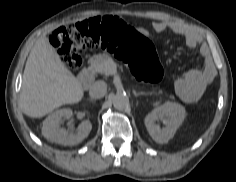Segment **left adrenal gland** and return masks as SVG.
<instances>
[{
	"label": "left adrenal gland",
	"instance_id": "left-adrenal-gland-1",
	"mask_svg": "<svg viewBox=\"0 0 236 182\" xmlns=\"http://www.w3.org/2000/svg\"><path fill=\"white\" fill-rule=\"evenodd\" d=\"M133 94L134 96H140V95H149L150 93H146V92H136L135 90H133Z\"/></svg>",
	"mask_w": 236,
	"mask_h": 182
}]
</instances>
